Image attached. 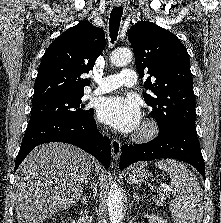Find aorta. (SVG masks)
I'll return each mask as SVG.
<instances>
[{
	"label": "aorta",
	"instance_id": "762f6f07",
	"mask_svg": "<svg viewBox=\"0 0 221 223\" xmlns=\"http://www.w3.org/2000/svg\"><path fill=\"white\" fill-rule=\"evenodd\" d=\"M133 54L129 49H118L111 53L110 61L116 66H125L132 60ZM107 206L111 223H120L123 212V194L119 186L111 184L107 195Z\"/></svg>",
	"mask_w": 221,
	"mask_h": 223
}]
</instances>
